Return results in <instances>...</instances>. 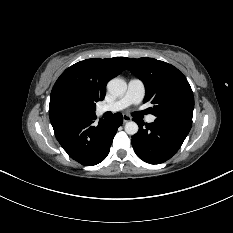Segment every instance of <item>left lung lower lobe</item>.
Here are the masks:
<instances>
[{
    "instance_id": "1",
    "label": "left lung lower lobe",
    "mask_w": 233,
    "mask_h": 233,
    "mask_svg": "<svg viewBox=\"0 0 233 233\" xmlns=\"http://www.w3.org/2000/svg\"><path fill=\"white\" fill-rule=\"evenodd\" d=\"M139 131L132 137L137 156L150 164H160L170 159L181 147L190 128L179 123L156 118L154 123L135 120Z\"/></svg>"
}]
</instances>
